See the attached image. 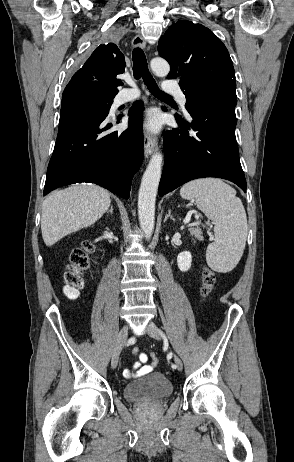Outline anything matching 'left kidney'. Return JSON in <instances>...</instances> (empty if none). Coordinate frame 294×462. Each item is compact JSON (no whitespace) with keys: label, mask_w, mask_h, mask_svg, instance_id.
Segmentation results:
<instances>
[{"label":"left kidney","mask_w":294,"mask_h":462,"mask_svg":"<svg viewBox=\"0 0 294 462\" xmlns=\"http://www.w3.org/2000/svg\"><path fill=\"white\" fill-rule=\"evenodd\" d=\"M192 263V255L188 251L181 252L177 256L178 268L182 272H186L190 269Z\"/></svg>","instance_id":"1"}]
</instances>
